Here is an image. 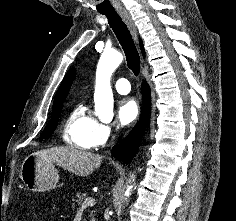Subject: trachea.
I'll return each instance as SVG.
<instances>
[{
  "label": "trachea",
  "instance_id": "obj_1",
  "mask_svg": "<svg viewBox=\"0 0 236 221\" xmlns=\"http://www.w3.org/2000/svg\"><path fill=\"white\" fill-rule=\"evenodd\" d=\"M102 14L108 18L109 25L124 50L128 68L135 76H138L140 72V57L126 24L116 11L103 12Z\"/></svg>",
  "mask_w": 236,
  "mask_h": 221
}]
</instances>
